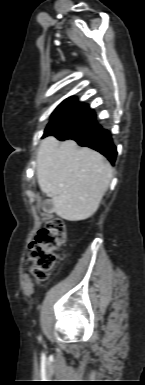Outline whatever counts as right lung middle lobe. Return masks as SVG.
<instances>
[{
	"mask_svg": "<svg viewBox=\"0 0 145 385\" xmlns=\"http://www.w3.org/2000/svg\"><path fill=\"white\" fill-rule=\"evenodd\" d=\"M89 107L81 102H78L75 97H69L64 100L53 112L50 123L44 131L45 136L56 135L62 130L70 127L86 112Z\"/></svg>",
	"mask_w": 145,
	"mask_h": 385,
	"instance_id": "obj_1",
	"label": "right lung middle lobe"
}]
</instances>
